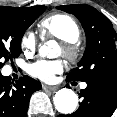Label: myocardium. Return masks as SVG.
I'll use <instances>...</instances> for the list:
<instances>
[{
	"mask_svg": "<svg viewBox=\"0 0 117 117\" xmlns=\"http://www.w3.org/2000/svg\"><path fill=\"white\" fill-rule=\"evenodd\" d=\"M62 52L63 54L72 61L79 58L80 50L76 42L62 41Z\"/></svg>",
	"mask_w": 117,
	"mask_h": 117,
	"instance_id": "1",
	"label": "myocardium"
}]
</instances>
